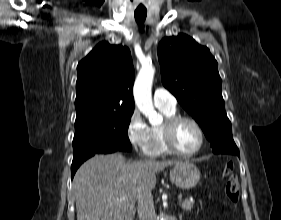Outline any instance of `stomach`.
I'll return each instance as SVG.
<instances>
[{
  "instance_id": "0dacf381",
  "label": "stomach",
  "mask_w": 281,
  "mask_h": 220,
  "mask_svg": "<svg viewBox=\"0 0 281 220\" xmlns=\"http://www.w3.org/2000/svg\"><path fill=\"white\" fill-rule=\"evenodd\" d=\"M171 181L182 189H190L200 181L199 169L190 162H180L170 170Z\"/></svg>"
}]
</instances>
